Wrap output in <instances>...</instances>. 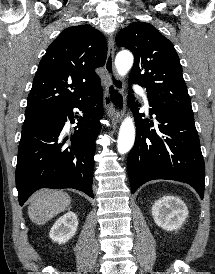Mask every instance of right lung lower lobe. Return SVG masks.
I'll list each match as a JSON object with an SVG mask.
<instances>
[{
  "instance_id": "right-lung-lower-lobe-1",
  "label": "right lung lower lobe",
  "mask_w": 215,
  "mask_h": 274,
  "mask_svg": "<svg viewBox=\"0 0 215 274\" xmlns=\"http://www.w3.org/2000/svg\"><path fill=\"white\" fill-rule=\"evenodd\" d=\"M102 100V88L98 84L87 96L62 107L48 121L22 133L16 167L21 206L39 188H73L94 198L95 139L101 129ZM75 107L83 115L72 134L67 135L65 123L68 118L71 123L75 122Z\"/></svg>"
}]
</instances>
